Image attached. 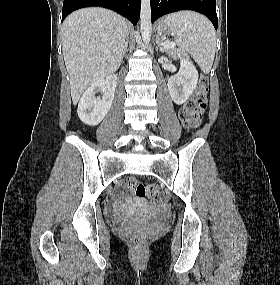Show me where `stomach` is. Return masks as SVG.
<instances>
[{
    "label": "stomach",
    "instance_id": "1",
    "mask_svg": "<svg viewBox=\"0 0 280 285\" xmlns=\"http://www.w3.org/2000/svg\"><path fill=\"white\" fill-rule=\"evenodd\" d=\"M157 30L162 34H172L171 28L165 23V21H161L158 23Z\"/></svg>",
    "mask_w": 280,
    "mask_h": 285
}]
</instances>
